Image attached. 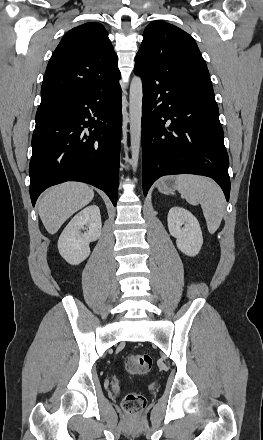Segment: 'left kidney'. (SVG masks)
Wrapping results in <instances>:
<instances>
[{
    "label": "left kidney",
    "instance_id": "left-kidney-1",
    "mask_svg": "<svg viewBox=\"0 0 263 440\" xmlns=\"http://www.w3.org/2000/svg\"><path fill=\"white\" fill-rule=\"evenodd\" d=\"M168 229L176 238L178 249L188 255L196 256L203 244L202 231L196 217L183 207H172L169 210Z\"/></svg>",
    "mask_w": 263,
    "mask_h": 440
}]
</instances>
